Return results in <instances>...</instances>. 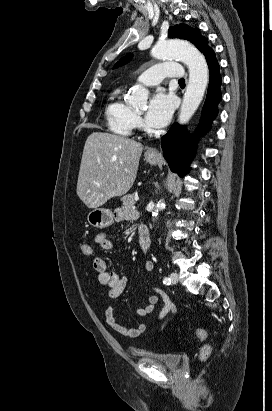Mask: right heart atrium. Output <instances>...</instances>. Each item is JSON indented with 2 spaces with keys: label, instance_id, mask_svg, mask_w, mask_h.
<instances>
[{
  "label": "right heart atrium",
  "instance_id": "d8ad5b80",
  "mask_svg": "<svg viewBox=\"0 0 272 411\" xmlns=\"http://www.w3.org/2000/svg\"><path fill=\"white\" fill-rule=\"evenodd\" d=\"M134 127H139L141 125V119L138 115L134 114Z\"/></svg>",
  "mask_w": 272,
  "mask_h": 411
}]
</instances>
